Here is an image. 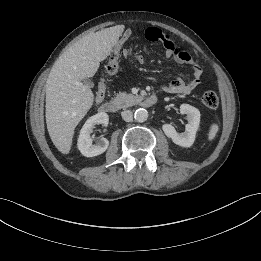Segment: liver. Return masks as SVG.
<instances>
[{
    "label": "liver",
    "instance_id": "obj_1",
    "mask_svg": "<svg viewBox=\"0 0 261 261\" xmlns=\"http://www.w3.org/2000/svg\"><path fill=\"white\" fill-rule=\"evenodd\" d=\"M124 31L123 25L83 37L54 63L46 81V124L55 147L68 154L74 129L94 102L90 86L82 81L93 77Z\"/></svg>",
    "mask_w": 261,
    "mask_h": 261
}]
</instances>
